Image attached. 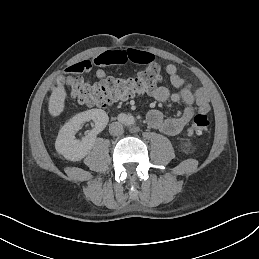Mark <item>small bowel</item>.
Masks as SVG:
<instances>
[{"label":"small bowel","instance_id":"1","mask_svg":"<svg viewBox=\"0 0 259 259\" xmlns=\"http://www.w3.org/2000/svg\"><path fill=\"white\" fill-rule=\"evenodd\" d=\"M153 60L154 56L145 51L135 49L112 50L103 52L91 59L74 63L69 67L68 71L83 73L90 71L93 67H98L95 71L96 76L100 79H105L108 75L101 67L121 65L128 62L151 64ZM165 70L171 84L177 90L171 92L167 87L159 86L151 92V95L157 101L182 102L186 107L183 113L176 117H166L161 111L152 109L147 113L146 120L151 128L166 135L174 136L179 134L196 114H207L209 112L210 99L208 92L204 88L194 87L180 77L174 64H168Z\"/></svg>","mask_w":259,"mask_h":259}]
</instances>
